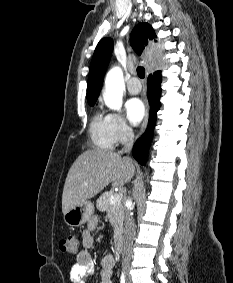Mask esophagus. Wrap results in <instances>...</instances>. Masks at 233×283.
Listing matches in <instances>:
<instances>
[{
	"mask_svg": "<svg viewBox=\"0 0 233 283\" xmlns=\"http://www.w3.org/2000/svg\"><path fill=\"white\" fill-rule=\"evenodd\" d=\"M148 117H149V105L146 101V116H145L144 122L142 124L139 135H141L145 131V129L147 127V123H148Z\"/></svg>",
	"mask_w": 233,
	"mask_h": 283,
	"instance_id": "esophagus-1",
	"label": "esophagus"
}]
</instances>
